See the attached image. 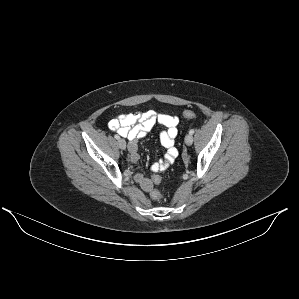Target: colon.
<instances>
[{"label":"colon","instance_id":"colon-1","mask_svg":"<svg viewBox=\"0 0 299 299\" xmlns=\"http://www.w3.org/2000/svg\"><path fill=\"white\" fill-rule=\"evenodd\" d=\"M183 116H184L185 118H187V119H191V118H194V117L196 116V114H195L194 111L187 110V111H185V112L183 113ZM153 182H154L155 184H159V183L161 182V178H160L159 176H154V177H153ZM151 195H152V198H153L154 200H157V201H159V200H161V199L163 198L161 192H160L157 188L153 189Z\"/></svg>","mask_w":299,"mask_h":299}]
</instances>
